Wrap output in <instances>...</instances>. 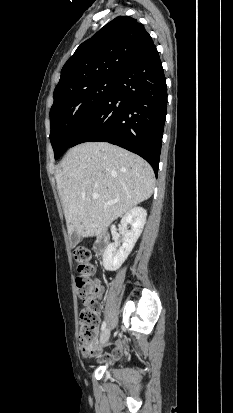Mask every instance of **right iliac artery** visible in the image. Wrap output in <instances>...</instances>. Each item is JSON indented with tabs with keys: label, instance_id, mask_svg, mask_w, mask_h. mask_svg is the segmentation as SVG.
Here are the masks:
<instances>
[{
	"label": "right iliac artery",
	"instance_id": "obj_1",
	"mask_svg": "<svg viewBox=\"0 0 233 413\" xmlns=\"http://www.w3.org/2000/svg\"><path fill=\"white\" fill-rule=\"evenodd\" d=\"M105 328H106V321H104V322L102 323L101 330L104 331Z\"/></svg>",
	"mask_w": 233,
	"mask_h": 413
}]
</instances>
